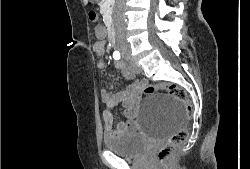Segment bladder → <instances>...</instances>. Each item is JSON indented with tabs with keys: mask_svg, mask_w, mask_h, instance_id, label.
Masks as SVG:
<instances>
[{
	"mask_svg": "<svg viewBox=\"0 0 250 169\" xmlns=\"http://www.w3.org/2000/svg\"><path fill=\"white\" fill-rule=\"evenodd\" d=\"M103 144L107 151L125 158L140 157L150 146L145 145L140 133H109L104 137Z\"/></svg>",
	"mask_w": 250,
	"mask_h": 169,
	"instance_id": "1",
	"label": "bladder"
}]
</instances>
